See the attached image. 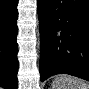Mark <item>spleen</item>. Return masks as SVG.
<instances>
[{
	"label": "spleen",
	"instance_id": "3e777b00",
	"mask_svg": "<svg viewBox=\"0 0 89 89\" xmlns=\"http://www.w3.org/2000/svg\"><path fill=\"white\" fill-rule=\"evenodd\" d=\"M52 89H89V83L71 75L61 74L52 81Z\"/></svg>",
	"mask_w": 89,
	"mask_h": 89
}]
</instances>
